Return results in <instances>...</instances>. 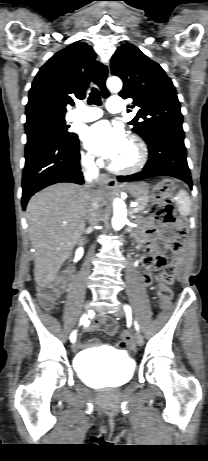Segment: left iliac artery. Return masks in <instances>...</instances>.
<instances>
[{"mask_svg": "<svg viewBox=\"0 0 208 461\" xmlns=\"http://www.w3.org/2000/svg\"><path fill=\"white\" fill-rule=\"evenodd\" d=\"M124 309H125V311H126L127 313H130V312H131L130 307L127 306V305L124 306ZM135 325H136V328H137V330H138V325H137L136 323H135Z\"/></svg>", "mask_w": 208, "mask_h": 461, "instance_id": "left-iliac-artery-1", "label": "left iliac artery"}]
</instances>
